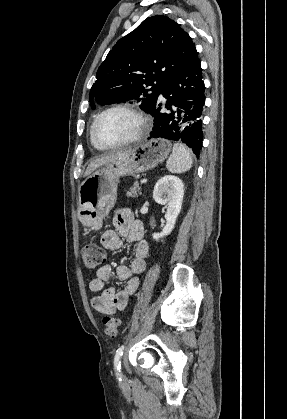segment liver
<instances>
[{
	"label": "liver",
	"mask_w": 287,
	"mask_h": 419,
	"mask_svg": "<svg viewBox=\"0 0 287 419\" xmlns=\"http://www.w3.org/2000/svg\"><path fill=\"white\" fill-rule=\"evenodd\" d=\"M131 149H127V150H121V151H117V152H113V153H109V154H105L103 156L97 157L94 160H92L85 171V176L90 175L93 171H95L97 168L106 165L107 163L116 160L118 158H120L121 156L125 155L127 152H129Z\"/></svg>",
	"instance_id": "1"
}]
</instances>
